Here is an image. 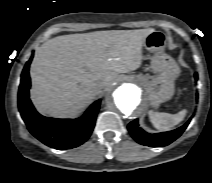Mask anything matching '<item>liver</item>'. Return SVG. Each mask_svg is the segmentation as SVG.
<instances>
[{
    "label": "liver",
    "mask_w": 212,
    "mask_h": 183,
    "mask_svg": "<svg viewBox=\"0 0 212 183\" xmlns=\"http://www.w3.org/2000/svg\"><path fill=\"white\" fill-rule=\"evenodd\" d=\"M153 31H96L44 42L30 67L31 99L36 109L52 117L77 114L100 92L96 84L107 87L118 73L141 66L144 40Z\"/></svg>",
    "instance_id": "1"
}]
</instances>
